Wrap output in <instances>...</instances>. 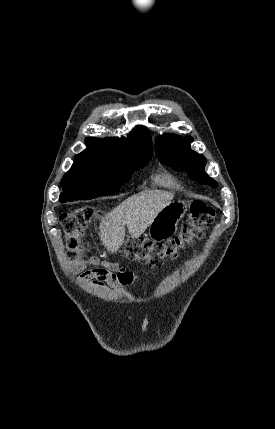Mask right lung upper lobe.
Returning a JSON list of instances; mask_svg holds the SVG:
<instances>
[{
    "instance_id": "1",
    "label": "right lung upper lobe",
    "mask_w": 275,
    "mask_h": 429,
    "mask_svg": "<svg viewBox=\"0 0 275 429\" xmlns=\"http://www.w3.org/2000/svg\"><path fill=\"white\" fill-rule=\"evenodd\" d=\"M87 149L75 157V163L108 162L125 155L151 156L152 140L148 129L137 126L129 134V138H87Z\"/></svg>"
}]
</instances>
